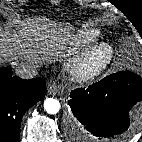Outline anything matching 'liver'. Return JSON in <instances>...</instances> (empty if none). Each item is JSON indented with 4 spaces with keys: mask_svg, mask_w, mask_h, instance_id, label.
Instances as JSON below:
<instances>
[{
    "mask_svg": "<svg viewBox=\"0 0 142 142\" xmlns=\"http://www.w3.org/2000/svg\"><path fill=\"white\" fill-rule=\"evenodd\" d=\"M60 33L61 31L52 23L27 22L12 38L15 41L13 50L18 56L23 55L29 60L44 61L47 56L55 54L56 49L60 48L62 41ZM9 41L11 39H6L0 29V48L5 47Z\"/></svg>",
    "mask_w": 142,
    "mask_h": 142,
    "instance_id": "liver-1",
    "label": "liver"
}]
</instances>
